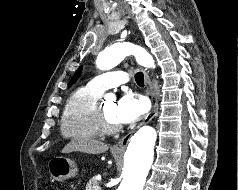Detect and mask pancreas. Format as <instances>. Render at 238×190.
I'll list each match as a JSON object with an SVG mask.
<instances>
[{"mask_svg":"<svg viewBox=\"0 0 238 190\" xmlns=\"http://www.w3.org/2000/svg\"><path fill=\"white\" fill-rule=\"evenodd\" d=\"M98 187H99L98 179L96 177H93L87 183L86 190H98Z\"/></svg>","mask_w":238,"mask_h":190,"instance_id":"pancreas-1","label":"pancreas"}]
</instances>
